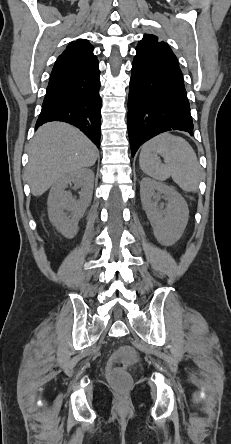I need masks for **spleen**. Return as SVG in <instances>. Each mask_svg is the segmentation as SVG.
Here are the masks:
<instances>
[{"label":"spleen","instance_id":"obj_1","mask_svg":"<svg viewBox=\"0 0 231 444\" xmlns=\"http://www.w3.org/2000/svg\"><path fill=\"white\" fill-rule=\"evenodd\" d=\"M160 154L165 159L161 164ZM139 164L148 176L164 181H173L186 192H195L201 180V168L196 153L183 138L164 134L146 142L141 149Z\"/></svg>","mask_w":231,"mask_h":444}]
</instances>
